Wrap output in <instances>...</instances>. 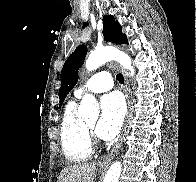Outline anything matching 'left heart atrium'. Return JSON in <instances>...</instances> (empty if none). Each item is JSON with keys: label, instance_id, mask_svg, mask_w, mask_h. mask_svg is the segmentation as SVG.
<instances>
[{"label": "left heart atrium", "instance_id": "39dd6f15", "mask_svg": "<svg viewBox=\"0 0 196 182\" xmlns=\"http://www.w3.org/2000/svg\"><path fill=\"white\" fill-rule=\"evenodd\" d=\"M125 103L118 93H110L101 99V116L96 126L97 135L104 140H111L119 133L124 117Z\"/></svg>", "mask_w": 196, "mask_h": 182}]
</instances>
